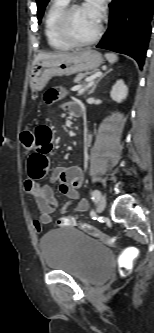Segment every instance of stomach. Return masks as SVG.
Masks as SVG:
<instances>
[{
  "label": "stomach",
  "mask_w": 154,
  "mask_h": 333,
  "mask_svg": "<svg viewBox=\"0 0 154 333\" xmlns=\"http://www.w3.org/2000/svg\"><path fill=\"white\" fill-rule=\"evenodd\" d=\"M102 63V55L91 49L58 59L39 61L31 70L30 88L34 92L41 91L52 77L69 76L82 71L95 70Z\"/></svg>",
  "instance_id": "0dacf381"
}]
</instances>
